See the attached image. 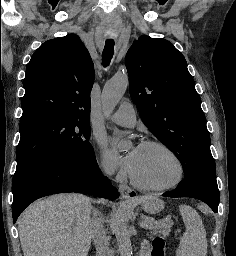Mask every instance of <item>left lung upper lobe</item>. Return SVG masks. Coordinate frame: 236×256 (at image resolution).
Instances as JSON below:
<instances>
[{
  "mask_svg": "<svg viewBox=\"0 0 236 256\" xmlns=\"http://www.w3.org/2000/svg\"><path fill=\"white\" fill-rule=\"evenodd\" d=\"M126 68L143 123L174 152L185 178L216 177L205 115L184 56L165 39L141 36L127 52Z\"/></svg>",
  "mask_w": 236,
  "mask_h": 256,
  "instance_id": "left-lung-upper-lobe-1",
  "label": "left lung upper lobe"
}]
</instances>
